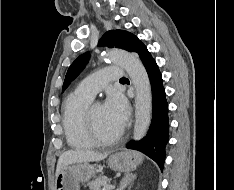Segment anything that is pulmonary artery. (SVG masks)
<instances>
[{
    "instance_id": "obj_1",
    "label": "pulmonary artery",
    "mask_w": 234,
    "mask_h": 190,
    "mask_svg": "<svg viewBox=\"0 0 234 190\" xmlns=\"http://www.w3.org/2000/svg\"><path fill=\"white\" fill-rule=\"evenodd\" d=\"M124 72L125 69L121 66H104L82 80L77 86L76 92L93 98L106 84L119 81Z\"/></svg>"
}]
</instances>
